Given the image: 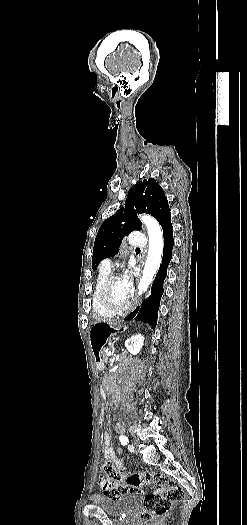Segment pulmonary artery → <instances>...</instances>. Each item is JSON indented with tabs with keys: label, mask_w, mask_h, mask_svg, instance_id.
Listing matches in <instances>:
<instances>
[{
	"label": "pulmonary artery",
	"mask_w": 247,
	"mask_h": 525,
	"mask_svg": "<svg viewBox=\"0 0 247 525\" xmlns=\"http://www.w3.org/2000/svg\"><path fill=\"white\" fill-rule=\"evenodd\" d=\"M124 243L129 247L144 246L146 243V238L145 236H127L124 239Z\"/></svg>",
	"instance_id": "pulmonary-artery-1"
}]
</instances>
